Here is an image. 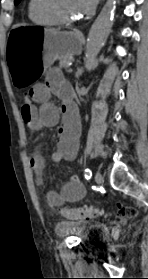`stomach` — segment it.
<instances>
[{"instance_id":"stomach-1","label":"stomach","mask_w":148,"mask_h":279,"mask_svg":"<svg viewBox=\"0 0 148 279\" xmlns=\"http://www.w3.org/2000/svg\"><path fill=\"white\" fill-rule=\"evenodd\" d=\"M6 39L7 49H27L5 50L15 91H30L56 59L80 54L82 49L79 32L47 31L46 25H17Z\"/></svg>"}]
</instances>
